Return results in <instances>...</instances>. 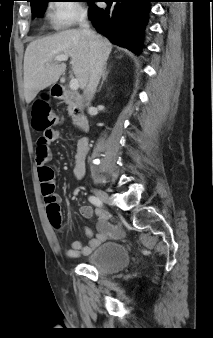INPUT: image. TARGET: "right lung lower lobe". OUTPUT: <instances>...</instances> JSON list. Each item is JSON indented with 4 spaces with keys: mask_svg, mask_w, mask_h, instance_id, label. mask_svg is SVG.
Here are the masks:
<instances>
[{
    "mask_svg": "<svg viewBox=\"0 0 213 338\" xmlns=\"http://www.w3.org/2000/svg\"><path fill=\"white\" fill-rule=\"evenodd\" d=\"M104 1L106 8L93 3ZM156 0H91L89 18L99 32L114 44L138 53L148 21L150 2Z\"/></svg>",
    "mask_w": 213,
    "mask_h": 338,
    "instance_id": "obj_1",
    "label": "right lung lower lobe"
}]
</instances>
